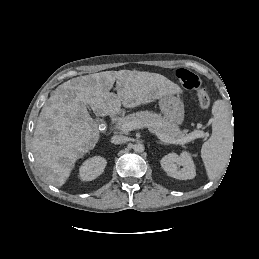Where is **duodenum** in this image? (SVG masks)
<instances>
[{
    "instance_id": "1",
    "label": "duodenum",
    "mask_w": 259,
    "mask_h": 259,
    "mask_svg": "<svg viewBox=\"0 0 259 259\" xmlns=\"http://www.w3.org/2000/svg\"><path fill=\"white\" fill-rule=\"evenodd\" d=\"M118 115H119L118 112L111 113L110 115L111 122H114L118 118Z\"/></svg>"
}]
</instances>
